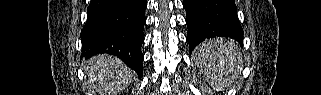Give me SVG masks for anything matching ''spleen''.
Wrapping results in <instances>:
<instances>
[{"label": "spleen", "mask_w": 321, "mask_h": 95, "mask_svg": "<svg viewBox=\"0 0 321 95\" xmlns=\"http://www.w3.org/2000/svg\"><path fill=\"white\" fill-rule=\"evenodd\" d=\"M195 60L209 83L221 89L234 83L243 63L236 42L226 38L203 42L196 48Z\"/></svg>", "instance_id": "spleen-1"}]
</instances>
